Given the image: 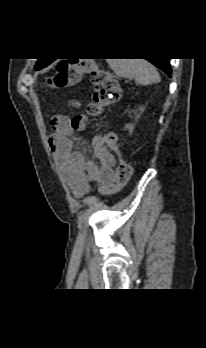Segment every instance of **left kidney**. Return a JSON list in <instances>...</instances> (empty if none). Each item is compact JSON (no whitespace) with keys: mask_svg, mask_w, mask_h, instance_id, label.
<instances>
[{"mask_svg":"<svg viewBox=\"0 0 206 348\" xmlns=\"http://www.w3.org/2000/svg\"><path fill=\"white\" fill-rule=\"evenodd\" d=\"M139 111H142V108L141 107H139V109H138ZM137 110V111H138ZM135 115H136V118H138L139 117V115H137V113L135 112ZM134 128V125L133 124H126V126H125V129H128V130H132Z\"/></svg>","mask_w":206,"mask_h":348,"instance_id":"5707ae66","label":"left kidney"}]
</instances>
